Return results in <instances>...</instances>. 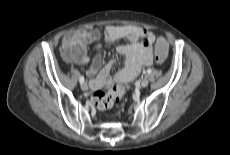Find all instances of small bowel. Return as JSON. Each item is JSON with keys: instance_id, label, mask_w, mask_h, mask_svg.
I'll return each instance as SVG.
<instances>
[{"instance_id": "obj_1", "label": "small bowel", "mask_w": 230, "mask_h": 155, "mask_svg": "<svg viewBox=\"0 0 230 155\" xmlns=\"http://www.w3.org/2000/svg\"><path fill=\"white\" fill-rule=\"evenodd\" d=\"M71 35L77 37L81 52L79 54H64V56L76 65L85 66L90 62L85 53V46L98 41L101 38V32L98 29L75 30L65 37L64 44ZM104 38L109 43L120 39L128 40V43L117 47L118 53L125 57V63L124 67L111 78L110 72L115 61L111 60L103 65L102 56H96L87 70V75L92 78L89 83L91 90L113 87L115 84L128 85L140 73L142 67L152 64V45L156 36L145 28L130 25H110L105 28Z\"/></svg>"}]
</instances>
